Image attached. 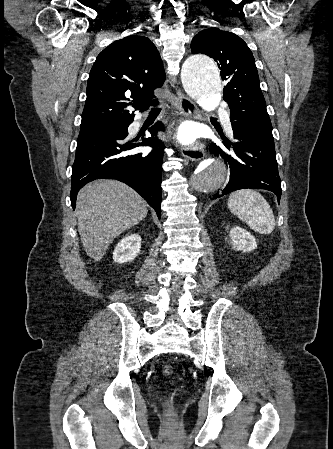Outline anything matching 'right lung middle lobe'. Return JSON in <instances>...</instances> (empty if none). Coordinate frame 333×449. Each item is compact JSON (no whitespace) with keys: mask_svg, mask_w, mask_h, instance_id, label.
<instances>
[{"mask_svg":"<svg viewBox=\"0 0 333 449\" xmlns=\"http://www.w3.org/2000/svg\"><path fill=\"white\" fill-rule=\"evenodd\" d=\"M118 126H121V124H113V125H107V126H101V127H95V128H89V129H80V133L99 131V130L109 129V128H116Z\"/></svg>","mask_w":333,"mask_h":449,"instance_id":"dd1d6c3e","label":"right lung middle lobe"}]
</instances>
